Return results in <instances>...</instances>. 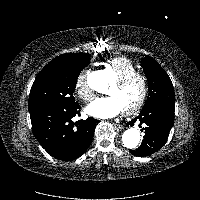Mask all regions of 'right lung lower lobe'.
I'll return each mask as SVG.
<instances>
[{"mask_svg":"<svg viewBox=\"0 0 200 200\" xmlns=\"http://www.w3.org/2000/svg\"><path fill=\"white\" fill-rule=\"evenodd\" d=\"M80 105H51L29 110L32 130L38 142L53 157L68 161L78 158L88 149L97 120L89 117L75 123Z\"/></svg>","mask_w":200,"mask_h":200,"instance_id":"obj_1","label":"right lung lower lobe"}]
</instances>
